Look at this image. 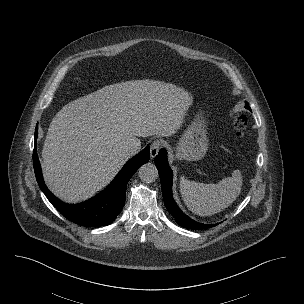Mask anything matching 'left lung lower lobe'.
<instances>
[{
    "mask_svg": "<svg viewBox=\"0 0 304 304\" xmlns=\"http://www.w3.org/2000/svg\"><path fill=\"white\" fill-rule=\"evenodd\" d=\"M155 165L158 168L162 195L164 199L165 206L169 213L175 218V221L182 227L187 229H208L214 227V224H202L194 221L187 215H185L180 208L177 206L174 198L172 196V180L173 173L168 165L166 150L161 149L159 154L155 157Z\"/></svg>",
    "mask_w": 304,
    "mask_h": 304,
    "instance_id": "1",
    "label": "left lung lower lobe"
}]
</instances>
